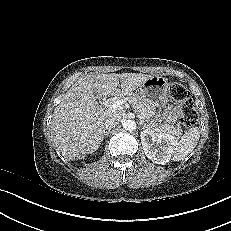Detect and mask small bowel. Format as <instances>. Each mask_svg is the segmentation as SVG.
<instances>
[{"instance_id": "obj_1", "label": "small bowel", "mask_w": 231, "mask_h": 231, "mask_svg": "<svg viewBox=\"0 0 231 231\" xmlns=\"http://www.w3.org/2000/svg\"><path fill=\"white\" fill-rule=\"evenodd\" d=\"M177 112H178L177 108L168 107L166 112H165V116L167 119L172 120L175 118Z\"/></svg>"}]
</instances>
